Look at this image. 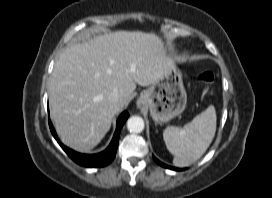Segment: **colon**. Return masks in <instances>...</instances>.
Wrapping results in <instances>:
<instances>
[{"label":"colon","mask_w":272,"mask_h":198,"mask_svg":"<svg viewBox=\"0 0 272 198\" xmlns=\"http://www.w3.org/2000/svg\"><path fill=\"white\" fill-rule=\"evenodd\" d=\"M197 80L199 81L200 84L204 86L205 96H210L211 95L210 86L214 80L213 74L209 71H202L198 74Z\"/></svg>","instance_id":"5ec220e1"}]
</instances>
